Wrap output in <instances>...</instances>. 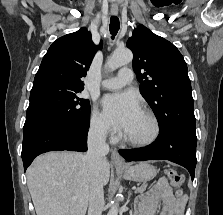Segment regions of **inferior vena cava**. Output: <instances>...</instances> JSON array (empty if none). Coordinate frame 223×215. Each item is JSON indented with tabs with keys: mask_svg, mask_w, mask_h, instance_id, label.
<instances>
[{
	"mask_svg": "<svg viewBox=\"0 0 223 215\" xmlns=\"http://www.w3.org/2000/svg\"><path fill=\"white\" fill-rule=\"evenodd\" d=\"M108 151L109 145L106 143V129H102V127H90L86 155L89 161L91 177L88 215H101L104 207L105 201L101 173L103 161H105V155H107Z\"/></svg>",
	"mask_w": 223,
	"mask_h": 215,
	"instance_id": "602c4592",
	"label": "inferior vena cava"
}]
</instances>
